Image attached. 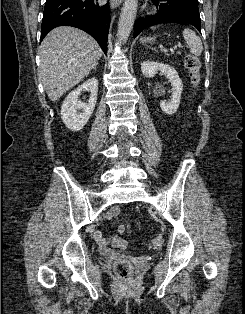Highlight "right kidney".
<instances>
[{
  "mask_svg": "<svg viewBox=\"0 0 245 314\" xmlns=\"http://www.w3.org/2000/svg\"><path fill=\"white\" fill-rule=\"evenodd\" d=\"M84 90L91 93L88 103L78 99ZM97 94L98 80L91 78L66 97L61 106V119L69 130L76 132L84 128L95 109Z\"/></svg>",
  "mask_w": 245,
  "mask_h": 314,
  "instance_id": "ca27d5eb",
  "label": "right kidney"
}]
</instances>
